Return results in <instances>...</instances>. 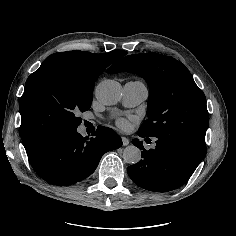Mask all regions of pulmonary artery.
Here are the masks:
<instances>
[{"label": "pulmonary artery", "mask_w": 236, "mask_h": 236, "mask_svg": "<svg viewBox=\"0 0 236 236\" xmlns=\"http://www.w3.org/2000/svg\"><path fill=\"white\" fill-rule=\"evenodd\" d=\"M148 96L147 86L140 81H128L123 87L122 103L133 107L143 102Z\"/></svg>", "instance_id": "pulmonary-artery-1"}]
</instances>
